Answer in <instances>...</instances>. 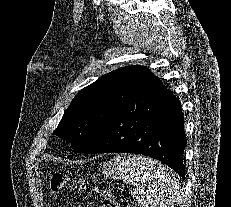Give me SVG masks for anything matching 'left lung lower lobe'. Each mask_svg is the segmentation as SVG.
<instances>
[{
  "mask_svg": "<svg viewBox=\"0 0 231 207\" xmlns=\"http://www.w3.org/2000/svg\"><path fill=\"white\" fill-rule=\"evenodd\" d=\"M186 147L180 101L151 74L142 89L105 125L84 152H129L167 164L185 179Z\"/></svg>",
  "mask_w": 231,
  "mask_h": 207,
  "instance_id": "0a47b994",
  "label": "left lung lower lobe"
}]
</instances>
